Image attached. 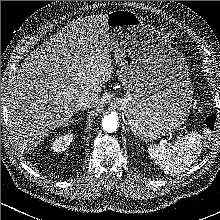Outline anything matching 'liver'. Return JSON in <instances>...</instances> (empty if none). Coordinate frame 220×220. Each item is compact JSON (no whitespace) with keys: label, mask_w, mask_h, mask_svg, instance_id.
<instances>
[{"label":"liver","mask_w":220,"mask_h":220,"mask_svg":"<svg viewBox=\"0 0 220 220\" xmlns=\"http://www.w3.org/2000/svg\"><path fill=\"white\" fill-rule=\"evenodd\" d=\"M107 14L73 20L21 64L6 98L9 126L21 149L36 147L49 130L66 126L82 95L100 106L101 86L114 73Z\"/></svg>","instance_id":"obj_1"}]
</instances>
